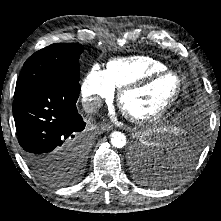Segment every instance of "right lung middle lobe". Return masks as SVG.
I'll list each match as a JSON object with an SVG mask.
<instances>
[{
    "mask_svg": "<svg viewBox=\"0 0 221 221\" xmlns=\"http://www.w3.org/2000/svg\"><path fill=\"white\" fill-rule=\"evenodd\" d=\"M83 52L81 45L76 43H56L49 45L29 57L16 83L14 97L19 96L34 86L46 83L72 84L78 87L79 57ZM89 143L81 150L79 157L71 164L75 173H62L49 168L45 172L36 173L43 181L54 185H67L75 181L77 174L84 166Z\"/></svg>",
    "mask_w": 221,
    "mask_h": 221,
    "instance_id": "1",
    "label": "right lung middle lobe"
}]
</instances>
